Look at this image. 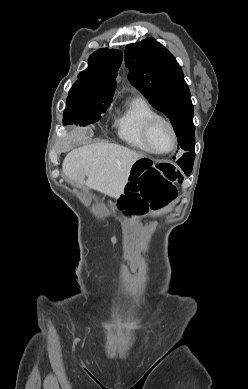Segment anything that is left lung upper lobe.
<instances>
[{
	"label": "left lung upper lobe",
	"mask_w": 248,
	"mask_h": 389,
	"mask_svg": "<svg viewBox=\"0 0 248 389\" xmlns=\"http://www.w3.org/2000/svg\"><path fill=\"white\" fill-rule=\"evenodd\" d=\"M128 79L148 101L169 119L186 152L194 150L195 137L187 123L193 120L189 87L174 56L154 38L129 44L125 48Z\"/></svg>",
	"instance_id": "1"
}]
</instances>
